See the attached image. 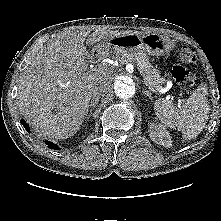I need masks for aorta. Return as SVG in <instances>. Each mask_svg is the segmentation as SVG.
<instances>
[{"label": "aorta", "mask_w": 221, "mask_h": 221, "mask_svg": "<svg viewBox=\"0 0 221 221\" xmlns=\"http://www.w3.org/2000/svg\"><path fill=\"white\" fill-rule=\"evenodd\" d=\"M113 87L115 95L121 99L130 98L135 94V87L122 80H116Z\"/></svg>", "instance_id": "aorta-1"}]
</instances>
